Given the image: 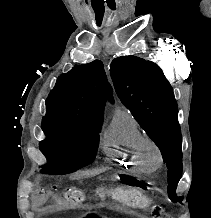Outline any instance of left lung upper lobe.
Wrapping results in <instances>:
<instances>
[{
	"label": "left lung upper lobe",
	"mask_w": 211,
	"mask_h": 218,
	"mask_svg": "<svg viewBox=\"0 0 211 218\" xmlns=\"http://www.w3.org/2000/svg\"><path fill=\"white\" fill-rule=\"evenodd\" d=\"M110 73L118 97L160 148L168 168V194L180 202L175 190L182 174V138L173 89L158 65L136 56L114 59Z\"/></svg>",
	"instance_id": "left-lung-upper-lobe-1"
}]
</instances>
